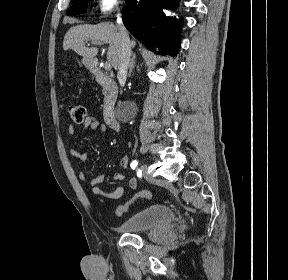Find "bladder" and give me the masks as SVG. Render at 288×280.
<instances>
[{"label":"bladder","instance_id":"obj_1","mask_svg":"<svg viewBox=\"0 0 288 280\" xmlns=\"http://www.w3.org/2000/svg\"><path fill=\"white\" fill-rule=\"evenodd\" d=\"M175 219V212L164 204H157L145 208L119 225V230L124 233H138L165 227Z\"/></svg>","mask_w":288,"mask_h":280}]
</instances>
